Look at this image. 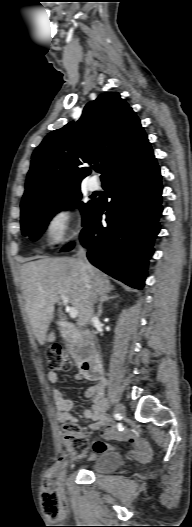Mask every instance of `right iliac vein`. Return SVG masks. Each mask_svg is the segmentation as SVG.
Listing matches in <instances>:
<instances>
[{
    "label": "right iliac vein",
    "instance_id": "obj_1",
    "mask_svg": "<svg viewBox=\"0 0 192 527\" xmlns=\"http://www.w3.org/2000/svg\"><path fill=\"white\" fill-rule=\"evenodd\" d=\"M115 411L120 414L121 416H123L125 414V408L122 404H117L116 407H115Z\"/></svg>",
    "mask_w": 192,
    "mask_h": 527
}]
</instances>
